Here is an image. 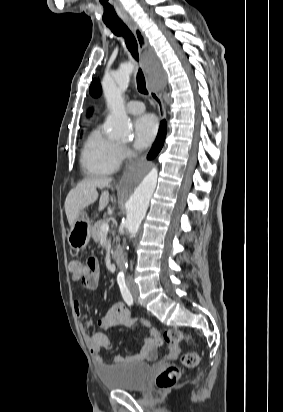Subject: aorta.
Returning <instances> with one entry per match:
<instances>
[{"label":"aorta","instance_id":"762f6f07","mask_svg":"<svg viewBox=\"0 0 283 412\" xmlns=\"http://www.w3.org/2000/svg\"><path fill=\"white\" fill-rule=\"evenodd\" d=\"M132 70L130 64L124 65L111 77L104 78L102 81V89L110 110L108 134L113 139H126L131 133L123 92L129 85ZM156 183L157 171L154 168L130 169L122 178L121 193L126 200L127 213L125 227L131 236L139 230ZM119 275H123V271Z\"/></svg>","mask_w":283,"mask_h":412}]
</instances>
